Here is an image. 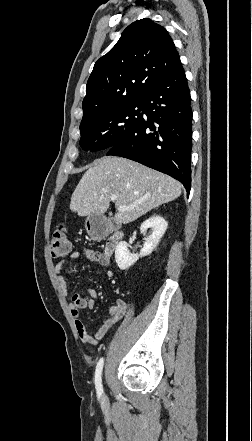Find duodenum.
I'll return each mask as SVG.
<instances>
[{"mask_svg": "<svg viewBox=\"0 0 252 441\" xmlns=\"http://www.w3.org/2000/svg\"><path fill=\"white\" fill-rule=\"evenodd\" d=\"M110 237H108L104 255L106 257H110L113 252L116 250L119 242L122 240L124 233L122 230L107 225L100 221L99 219H91L89 222V234L91 238L102 240L106 238L110 233Z\"/></svg>", "mask_w": 252, "mask_h": 441, "instance_id": "1", "label": "duodenum"}]
</instances>
